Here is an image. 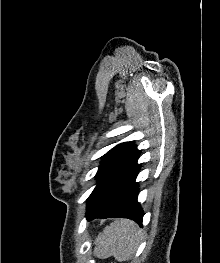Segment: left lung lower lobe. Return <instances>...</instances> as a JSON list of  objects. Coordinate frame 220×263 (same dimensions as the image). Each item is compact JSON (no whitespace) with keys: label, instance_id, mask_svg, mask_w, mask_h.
Segmentation results:
<instances>
[{"label":"left lung lower lobe","instance_id":"left-lung-lower-lobe-1","mask_svg":"<svg viewBox=\"0 0 220 263\" xmlns=\"http://www.w3.org/2000/svg\"><path fill=\"white\" fill-rule=\"evenodd\" d=\"M140 165L136 164L97 203L87 209L88 221L95 218L123 217L142 225L143 211L137 202L138 186L135 183Z\"/></svg>","mask_w":220,"mask_h":263}]
</instances>
